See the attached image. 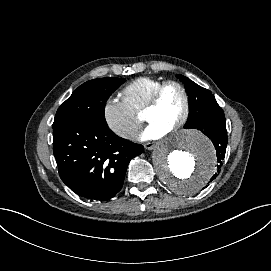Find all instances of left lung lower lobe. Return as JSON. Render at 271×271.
Returning <instances> with one entry per match:
<instances>
[{
	"label": "left lung lower lobe",
	"mask_w": 271,
	"mask_h": 271,
	"mask_svg": "<svg viewBox=\"0 0 271 271\" xmlns=\"http://www.w3.org/2000/svg\"><path fill=\"white\" fill-rule=\"evenodd\" d=\"M197 129L211 139L216 149L217 173L212 176L208 182L210 183L220 172V168L225 158L228 142L226 120L222 108L208 113V115L201 121Z\"/></svg>",
	"instance_id": "obj_1"
}]
</instances>
